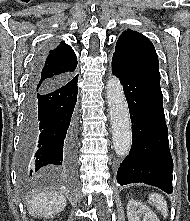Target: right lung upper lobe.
Masks as SVG:
<instances>
[{"label":"right lung upper lobe","instance_id":"obj_1","mask_svg":"<svg viewBox=\"0 0 190 221\" xmlns=\"http://www.w3.org/2000/svg\"><path fill=\"white\" fill-rule=\"evenodd\" d=\"M76 67L77 58L74 51L62 41L40 62L36 84L43 86L65 81L73 76Z\"/></svg>","mask_w":190,"mask_h":221}]
</instances>
